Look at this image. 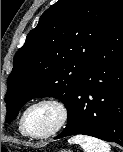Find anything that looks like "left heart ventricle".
<instances>
[{
  "instance_id": "b2bd125f",
  "label": "left heart ventricle",
  "mask_w": 123,
  "mask_h": 152,
  "mask_svg": "<svg viewBox=\"0 0 123 152\" xmlns=\"http://www.w3.org/2000/svg\"><path fill=\"white\" fill-rule=\"evenodd\" d=\"M58 121V109L50 104H42L29 111L26 117V127L33 134H44L52 130Z\"/></svg>"
}]
</instances>
